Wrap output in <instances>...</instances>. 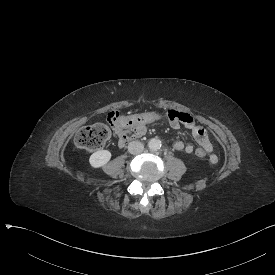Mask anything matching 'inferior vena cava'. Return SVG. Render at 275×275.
Masks as SVG:
<instances>
[{
    "label": "inferior vena cava",
    "mask_w": 275,
    "mask_h": 275,
    "mask_svg": "<svg viewBox=\"0 0 275 275\" xmlns=\"http://www.w3.org/2000/svg\"><path fill=\"white\" fill-rule=\"evenodd\" d=\"M144 150V145L140 141H132L128 145L129 153L137 155L142 153Z\"/></svg>",
    "instance_id": "obj_1"
}]
</instances>
